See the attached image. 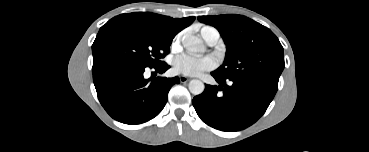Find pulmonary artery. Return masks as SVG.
<instances>
[{
  "label": "pulmonary artery",
  "mask_w": 369,
  "mask_h": 152,
  "mask_svg": "<svg viewBox=\"0 0 369 152\" xmlns=\"http://www.w3.org/2000/svg\"><path fill=\"white\" fill-rule=\"evenodd\" d=\"M201 36L210 46L216 45L220 39V33L218 32V30L210 26L202 28Z\"/></svg>",
  "instance_id": "e3ab8cb5"
}]
</instances>
